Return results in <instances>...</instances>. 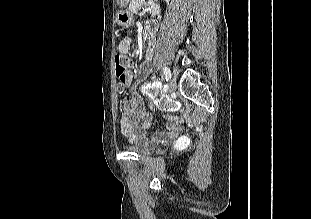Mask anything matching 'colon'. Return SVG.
Instances as JSON below:
<instances>
[{
  "instance_id": "obj_1",
  "label": "colon",
  "mask_w": 311,
  "mask_h": 219,
  "mask_svg": "<svg viewBox=\"0 0 311 219\" xmlns=\"http://www.w3.org/2000/svg\"><path fill=\"white\" fill-rule=\"evenodd\" d=\"M130 59L125 55H119L115 59V72L118 78V87L120 92H123L127 87L126 73L129 71ZM146 90V89H145ZM165 107H172L168 103H164ZM187 143L186 140H180L177 143L178 147H181Z\"/></svg>"
}]
</instances>
